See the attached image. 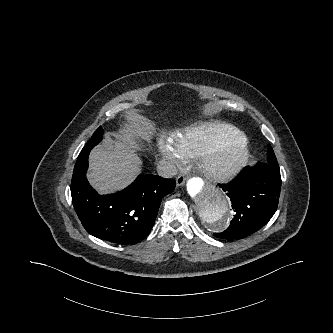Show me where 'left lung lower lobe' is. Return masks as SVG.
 I'll return each instance as SVG.
<instances>
[{
  "instance_id": "1",
  "label": "left lung lower lobe",
  "mask_w": 333,
  "mask_h": 333,
  "mask_svg": "<svg viewBox=\"0 0 333 333\" xmlns=\"http://www.w3.org/2000/svg\"><path fill=\"white\" fill-rule=\"evenodd\" d=\"M219 187L229 196L235 215L227 230L214 235L241 239L263 227L276 212L281 189L280 170L259 162L252 168L245 167L234 180Z\"/></svg>"
}]
</instances>
